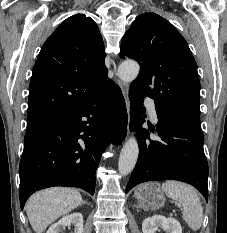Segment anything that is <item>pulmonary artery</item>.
<instances>
[{
    "instance_id": "e3ab8cb5",
    "label": "pulmonary artery",
    "mask_w": 227,
    "mask_h": 233,
    "mask_svg": "<svg viewBox=\"0 0 227 233\" xmlns=\"http://www.w3.org/2000/svg\"><path fill=\"white\" fill-rule=\"evenodd\" d=\"M145 105L148 109V112L150 114V117L152 118V120L157 121V112H156V108H155V103L151 100V99H146L145 100Z\"/></svg>"
}]
</instances>
